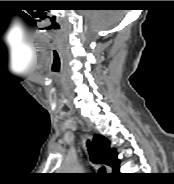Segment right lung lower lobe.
Wrapping results in <instances>:
<instances>
[{
    "mask_svg": "<svg viewBox=\"0 0 174 184\" xmlns=\"http://www.w3.org/2000/svg\"><path fill=\"white\" fill-rule=\"evenodd\" d=\"M119 173V169H118V171L116 172V174H118Z\"/></svg>",
    "mask_w": 174,
    "mask_h": 184,
    "instance_id": "right-lung-lower-lobe-1",
    "label": "right lung lower lobe"
}]
</instances>
